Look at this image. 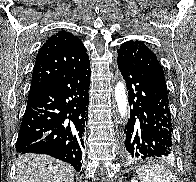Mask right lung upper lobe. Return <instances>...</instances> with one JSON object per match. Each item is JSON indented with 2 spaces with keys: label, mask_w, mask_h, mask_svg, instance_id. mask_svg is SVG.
I'll list each match as a JSON object with an SVG mask.
<instances>
[{
  "label": "right lung upper lobe",
  "mask_w": 196,
  "mask_h": 182,
  "mask_svg": "<svg viewBox=\"0 0 196 182\" xmlns=\"http://www.w3.org/2000/svg\"><path fill=\"white\" fill-rule=\"evenodd\" d=\"M87 57L85 46L72 33L62 30L49 37L36 56L29 97Z\"/></svg>",
  "instance_id": "obj_1"
}]
</instances>
